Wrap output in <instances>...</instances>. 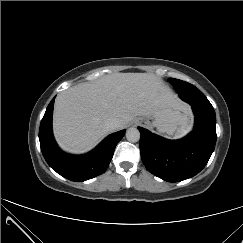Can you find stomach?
<instances>
[{
  "instance_id": "1",
  "label": "stomach",
  "mask_w": 243,
  "mask_h": 243,
  "mask_svg": "<svg viewBox=\"0 0 243 243\" xmlns=\"http://www.w3.org/2000/svg\"><path fill=\"white\" fill-rule=\"evenodd\" d=\"M138 120H144L147 125L155 127L160 133L169 137H178L189 130L192 116L189 110L164 107Z\"/></svg>"
}]
</instances>
